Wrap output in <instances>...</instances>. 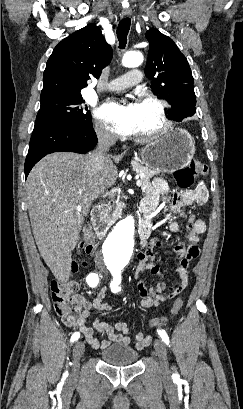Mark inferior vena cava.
<instances>
[{
  "label": "inferior vena cava",
  "instance_id": "1",
  "mask_svg": "<svg viewBox=\"0 0 243 409\" xmlns=\"http://www.w3.org/2000/svg\"><path fill=\"white\" fill-rule=\"evenodd\" d=\"M98 143L95 150L87 155L89 166L93 174L102 182L101 173L107 159L106 152L115 144L116 137L102 129H97Z\"/></svg>",
  "mask_w": 243,
  "mask_h": 409
}]
</instances>
